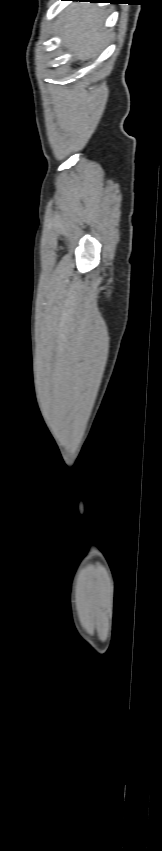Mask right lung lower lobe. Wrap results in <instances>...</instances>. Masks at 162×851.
I'll use <instances>...</instances> for the list:
<instances>
[{
    "label": "right lung lower lobe",
    "instance_id": "1",
    "mask_svg": "<svg viewBox=\"0 0 162 851\" xmlns=\"http://www.w3.org/2000/svg\"><path fill=\"white\" fill-rule=\"evenodd\" d=\"M73 1H82V0H73ZM89 1H91V2H102L103 0H89ZM116 1L117 0H112V2H110V3H118Z\"/></svg>",
    "mask_w": 162,
    "mask_h": 851
}]
</instances>
